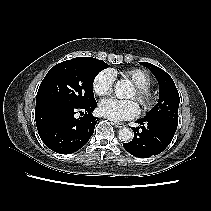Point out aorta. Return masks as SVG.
Returning a JSON list of instances; mask_svg holds the SVG:
<instances>
[{"mask_svg": "<svg viewBox=\"0 0 211 211\" xmlns=\"http://www.w3.org/2000/svg\"><path fill=\"white\" fill-rule=\"evenodd\" d=\"M131 90V83L125 80L116 82L114 86L116 96L121 99L127 97ZM118 138L121 142L128 143L133 139V132L130 128H122L118 132Z\"/></svg>", "mask_w": 211, "mask_h": 211, "instance_id": "obj_1", "label": "aorta"}]
</instances>
